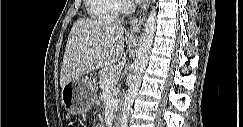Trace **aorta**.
<instances>
[{
	"label": "aorta",
	"mask_w": 243,
	"mask_h": 127,
	"mask_svg": "<svg viewBox=\"0 0 243 127\" xmlns=\"http://www.w3.org/2000/svg\"><path fill=\"white\" fill-rule=\"evenodd\" d=\"M156 7H153V9L148 14V17L146 19L141 40H140V46L137 53V59L135 61V68H134V75L132 78V81L129 85L127 94L125 96L123 106H122V113H121V119H120V126L121 127H127L128 118L130 115V110L132 107V104L134 102V98L139 90V87L142 82V76L145 71L149 54L151 51V47L153 44L154 39V32L156 27Z\"/></svg>",
	"instance_id": "obj_1"
}]
</instances>
